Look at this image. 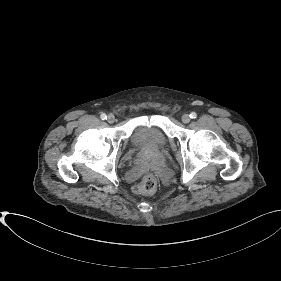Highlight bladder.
<instances>
[{
  "mask_svg": "<svg viewBox=\"0 0 281 281\" xmlns=\"http://www.w3.org/2000/svg\"><path fill=\"white\" fill-rule=\"evenodd\" d=\"M130 143L136 153L153 158L164 152L167 147V138L158 127L138 124L132 131Z\"/></svg>",
  "mask_w": 281,
  "mask_h": 281,
  "instance_id": "obj_1",
  "label": "bladder"
}]
</instances>
